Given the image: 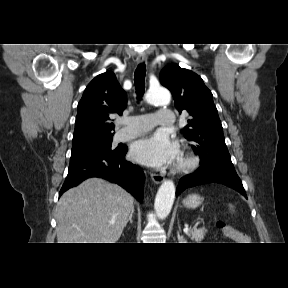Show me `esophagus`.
I'll return each mask as SVG.
<instances>
[{
  "label": "esophagus",
  "instance_id": "obj_1",
  "mask_svg": "<svg viewBox=\"0 0 288 288\" xmlns=\"http://www.w3.org/2000/svg\"><path fill=\"white\" fill-rule=\"evenodd\" d=\"M147 60V56L145 53H141L137 56V62L143 63ZM151 178L156 184H160L164 181V176L161 174L151 173Z\"/></svg>",
  "mask_w": 288,
  "mask_h": 288
}]
</instances>
